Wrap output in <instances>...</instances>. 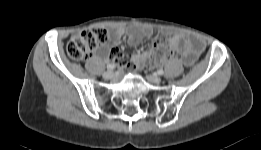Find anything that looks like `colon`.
Segmentation results:
<instances>
[{
    "label": "colon",
    "instance_id": "1",
    "mask_svg": "<svg viewBox=\"0 0 261 150\" xmlns=\"http://www.w3.org/2000/svg\"><path fill=\"white\" fill-rule=\"evenodd\" d=\"M109 34L102 28L86 29L71 37L67 44V54L73 60H86L94 50L107 42ZM178 52L168 41H156L147 54V62L151 65L159 64L178 57Z\"/></svg>",
    "mask_w": 261,
    "mask_h": 150
}]
</instances>
